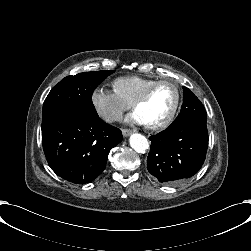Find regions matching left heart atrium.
I'll list each match as a JSON object with an SVG mask.
<instances>
[{
	"label": "left heart atrium",
	"mask_w": 251,
	"mask_h": 251,
	"mask_svg": "<svg viewBox=\"0 0 251 251\" xmlns=\"http://www.w3.org/2000/svg\"><path fill=\"white\" fill-rule=\"evenodd\" d=\"M126 121L127 122H134V123H137V124H143L144 123L141 115L137 111L132 113L131 115L127 116Z\"/></svg>",
	"instance_id": "obj_1"
}]
</instances>
